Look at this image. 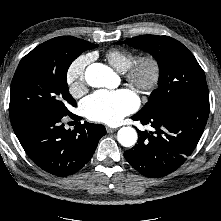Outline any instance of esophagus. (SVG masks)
<instances>
[{
	"label": "esophagus",
	"instance_id": "34e87169",
	"mask_svg": "<svg viewBox=\"0 0 221 221\" xmlns=\"http://www.w3.org/2000/svg\"><path fill=\"white\" fill-rule=\"evenodd\" d=\"M106 130L108 133H113L114 131H116L115 128H111V127H106Z\"/></svg>",
	"mask_w": 221,
	"mask_h": 221
}]
</instances>
